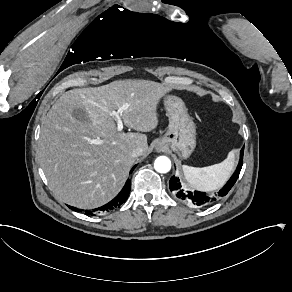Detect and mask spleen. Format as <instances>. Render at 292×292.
<instances>
[{
    "instance_id": "3e777b00",
    "label": "spleen",
    "mask_w": 292,
    "mask_h": 292,
    "mask_svg": "<svg viewBox=\"0 0 292 292\" xmlns=\"http://www.w3.org/2000/svg\"><path fill=\"white\" fill-rule=\"evenodd\" d=\"M233 161L234 151H230L220 163L206 167L183 165V171L191 187L210 191L219 188L226 181L233 168Z\"/></svg>"
}]
</instances>
